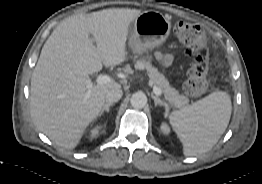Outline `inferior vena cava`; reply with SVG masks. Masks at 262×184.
Returning a JSON list of instances; mask_svg holds the SVG:
<instances>
[{"label": "inferior vena cava", "instance_id": "602c4592", "mask_svg": "<svg viewBox=\"0 0 262 184\" xmlns=\"http://www.w3.org/2000/svg\"><path fill=\"white\" fill-rule=\"evenodd\" d=\"M122 95H123L122 90L119 88H115L107 92L105 96V100L107 103H115L120 100Z\"/></svg>", "mask_w": 262, "mask_h": 184}]
</instances>
